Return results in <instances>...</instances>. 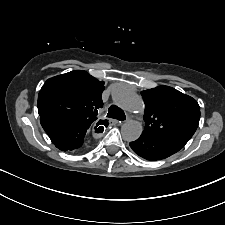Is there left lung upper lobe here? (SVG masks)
I'll return each mask as SVG.
<instances>
[{
	"label": "left lung upper lobe",
	"instance_id": "obj_1",
	"mask_svg": "<svg viewBox=\"0 0 225 225\" xmlns=\"http://www.w3.org/2000/svg\"><path fill=\"white\" fill-rule=\"evenodd\" d=\"M141 95L145 102L144 135L187 141L193 136L200 119L195 99L168 86L145 90Z\"/></svg>",
	"mask_w": 225,
	"mask_h": 225
}]
</instances>
